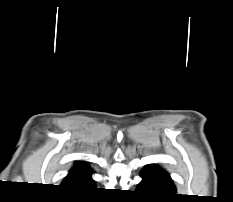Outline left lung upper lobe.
<instances>
[{
  "label": "left lung upper lobe",
  "mask_w": 233,
  "mask_h": 202,
  "mask_svg": "<svg viewBox=\"0 0 233 202\" xmlns=\"http://www.w3.org/2000/svg\"><path fill=\"white\" fill-rule=\"evenodd\" d=\"M149 167L154 168V169H156V170H158V171H160V172H162V173H167L165 170H163L162 168H160V167H158V166H156V165H150ZM167 174H168V173H167Z\"/></svg>",
  "instance_id": "1"
}]
</instances>
